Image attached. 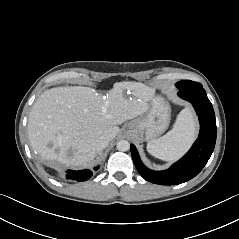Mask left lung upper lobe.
<instances>
[{
	"label": "left lung upper lobe",
	"mask_w": 239,
	"mask_h": 239,
	"mask_svg": "<svg viewBox=\"0 0 239 239\" xmlns=\"http://www.w3.org/2000/svg\"><path fill=\"white\" fill-rule=\"evenodd\" d=\"M198 86H202L200 83L198 82H194V81H190V80H182L178 83H176V87L179 90H187L193 87H198Z\"/></svg>",
	"instance_id": "obj_1"
}]
</instances>
